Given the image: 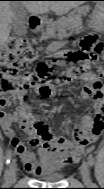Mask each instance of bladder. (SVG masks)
Wrapping results in <instances>:
<instances>
[{
  "label": "bladder",
  "mask_w": 104,
  "mask_h": 189,
  "mask_svg": "<svg viewBox=\"0 0 104 189\" xmlns=\"http://www.w3.org/2000/svg\"><path fill=\"white\" fill-rule=\"evenodd\" d=\"M39 177L46 182H57L63 178L62 171H44L42 172Z\"/></svg>",
  "instance_id": "1"
}]
</instances>
